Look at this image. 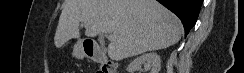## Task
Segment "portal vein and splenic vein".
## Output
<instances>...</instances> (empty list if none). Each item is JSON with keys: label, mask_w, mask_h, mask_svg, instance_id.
Instances as JSON below:
<instances>
[{"label": "portal vein and splenic vein", "mask_w": 244, "mask_h": 73, "mask_svg": "<svg viewBox=\"0 0 244 73\" xmlns=\"http://www.w3.org/2000/svg\"><path fill=\"white\" fill-rule=\"evenodd\" d=\"M107 38H108L109 41H112V40L115 39V36L112 35V34H109V35L107 36Z\"/></svg>", "instance_id": "portal-vein-and-splenic-vein-1"}]
</instances>
